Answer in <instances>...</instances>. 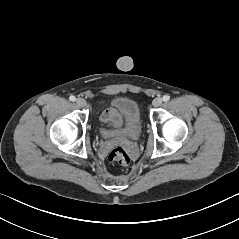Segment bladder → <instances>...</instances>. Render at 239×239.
<instances>
[{"instance_id":"1","label":"bladder","mask_w":239,"mask_h":239,"mask_svg":"<svg viewBox=\"0 0 239 239\" xmlns=\"http://www.w3.org/2000/svg\"><path fill=\"white\" fill-rule=\"evenodd\" d=\"M112 105L120 115V125L112 129L102 128L101 135L105 139H137L142 130L141 114L137 103L130 98L119 97L112 101Z\"/></svg>"}]
</instances>
